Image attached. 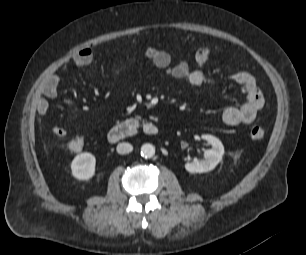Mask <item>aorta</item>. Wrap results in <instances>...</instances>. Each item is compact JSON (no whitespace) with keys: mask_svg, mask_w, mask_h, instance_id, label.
<instances>
[{"mask_svg":"<svg viewBox=\"0 0 306 255\" xmlns=\"http://www.w3.org/2000/svg\"><path fill=\"white\" fill-rule=\"evenodd\" d=\"M155 155V147L146 143L141 146V156L144 158H152Z\"/></svg>","mask_w":306,"mask_h":255,"instance_id":"obj_1","label":"aorta"}]
</instances>
